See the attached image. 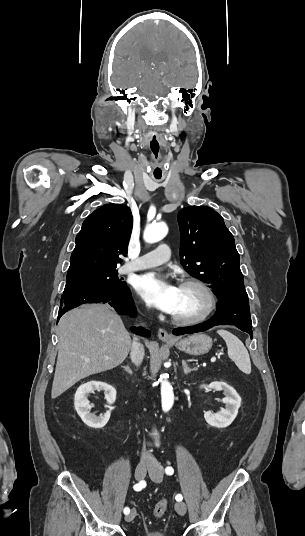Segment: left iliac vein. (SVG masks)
Returning a JSON list of instances; mask_svg holds the SVG:
<instances>
[{
    "label": "left iliac vein",
    "mask_w": 305,
    "mask_h": 536,
    "mask_svg": "<svg viewBox=\"0 0 305 536\" xmlns=\"http://www.w3.org/2000/svg\"><path fill=\"white\" fill-rule=\"evenodd\" d=\"M163 474L164 470L161 466H154L149 470L150 477L156 482H159L163 479ZM175 509L178 514L184 515L186 513V504L184 502H177L175 504Z\"/></svg>",
    "instance_id": "4c4485c4"
}]
</instances>
